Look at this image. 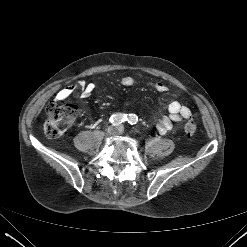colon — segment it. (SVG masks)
<instances>
[{"mask_svg":"<svg viewBox=\"0 0 247 247\" xmlns=\"http://www.w3.org/2000/svg\"><path fill=\"white\" fill-rule=\"evenodd\" d=\"M76 115V107L72 104L59 105L51 102L46 107V122L44 132L49 138H56L63 134ZM196 124L189 120L184 125V131L192 136L196 131Z\"/></svg>","mask_w":247,"mask_h":247,"instance_id":"5ec220e1","label":"colon"}]
</instances>
